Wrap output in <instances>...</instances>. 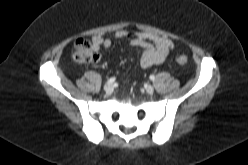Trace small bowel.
Segmentation results:
<instances>
[{"mask_svg": "<svg viewBox=\"0 0 248 165\" xmlns=\"http://www.w3.org/2000/svg\"><path fill=\"white\" fill-rule=\"evenodd\" d=\"M113 39L125 40L129 45L139 47L142 51L139 66L143 69L162 64L174 44L163 36L138 31L119 30L113 37L94 35L91 37L94 48L107 49L112 45Z\"/></svg>", "mask_w": 248, "mask_h": 165, "instance_id": "1", "label": "small bowel"}]
</instances>
